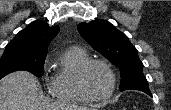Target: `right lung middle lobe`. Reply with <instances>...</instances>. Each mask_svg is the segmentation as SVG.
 <instances>
[{
  "mask_svg": "<svg viewBox=\"0 0 171 110\" xmlns=\"http://www.w3.org/2000/svg\"><path fill=\"white\" fill-rule=\"evenodd\" d=\"M45 58L46 55L28 54L17 48L6 47L0 59V79L18 70L29 71L35 76L41 77Z\"/></svg>",
  "mask_w": 171,
  "mask_h": 110,
  "instance_id": "right-lung-middle-lobe-1",
  "label": "right lung middle lobe"
}]
</instances>
